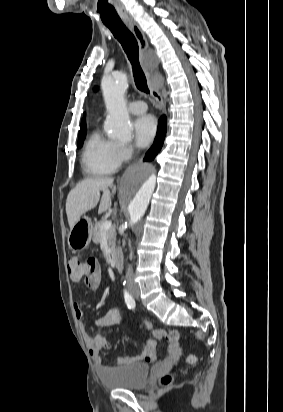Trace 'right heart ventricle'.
<instances>
[{
    "instance_id": "right-heart-ventricle-1",
    "label": "right heart ventricle",
    "mask_w": 283,
    "mask_h": 412,
    "mask_svg": "<svg viewBox=\"0 0 283 412\" xmlns=\"http://www.w3.org/2000/svg\"><path fill=\"white\" fill-rule=\"evenodd\" d=\"M121 162L119 145L105 138L99 131H94L83 150L84 170L94 176L109 175L119 169Z\"/></svg>"
}]
</instances>
